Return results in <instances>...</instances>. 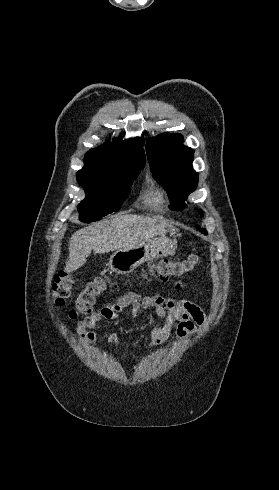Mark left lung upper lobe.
Listing matches in <instances>:
<instances>
[{
  "instance_id": "left-lung-upper-lobe-1",
  "label": "left lung upper lobe",
  "mask_w": 279,
  "mask_h": 490,
  "mask_svg": "<svg viewBox=\"0 0 279 490\" xmlns=\"http://www.w3.org/2000/svg\"><path fill=\"white\" fill-rule=\"evenodd\" d=\"M183 142L181 134H161L146 144L154 176L168 192L174 210L185 207L184 200L198 184V173L192 167L194 150ZM201 231L207 234L205 229Z\"/></svg>"
}]
</instances>
